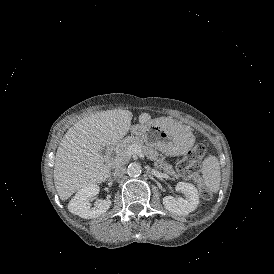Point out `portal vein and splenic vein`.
<instances>
[{
  "mask_svg": "<svg viewBox=\"0 0 274 274\" xmlns=\"http://www.w3.org/2000/svg\"><path fill=\"white\" fill-rule=\"evenodd\" d=\"M128 155H132V154H137L139 157L143 158L144 155L143 153L141 152V149L138 145H131L128 147V151H127Z\"/></svg>",
  "mask_w": 274,
  "mask_h": 274,
  "instance_id": "obj_1",
  "label": "portal vein and splenic vein"
}]
</instances>
